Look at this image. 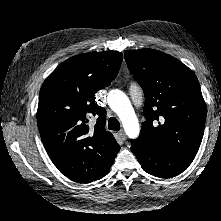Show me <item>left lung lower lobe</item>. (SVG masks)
Returning a JSON list of instances; mask_svg holds the SVG:
<instances>
[{
  "instance_id": "1",
  "label": "left lung lower lobe",
  "mask_w": 221,
  "mask_h": 221,
  "mask_svg": "<svg viewBox=\"0 0 221 221\" xmlns=\"http://www.w3.org/2000/svg\"><path fill=\"white\" fill-rule=\"evenodd\" d=\"M131 144V150L143 170L156 177H174L186 170L192 162L165 150L140 148Z\"/></svg>"
}]
</instances>
